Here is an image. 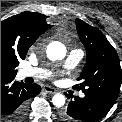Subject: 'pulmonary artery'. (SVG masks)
Wrapping results in <instances>:
<instances>
[{"label": "pulmonary artery", "mask_w": 122, "mask_h": 122, "mask_svg": "<svg viewBox=\"0 0 122 122\" xmlns=\"http://www.w3.org/2000/svg\"><path fill=\"white\" fill-rule=\"evenodd\" d=\"M83 51L81 49H72L64 63V67L67 69L74 68L82 59ZM50 72L48 70L42 68H32V67H25L19 71V76L21 78L33 77L38 79H44L50 76ZM80 97H84V93L79 94Z\"/></svg>", "instance_id": "pulmonary-artery-1"}]
</instances>
